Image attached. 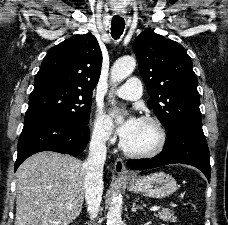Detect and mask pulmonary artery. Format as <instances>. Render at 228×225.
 <instances>
[{
    "mask_svg": "<svg viewBox=\"0 0 228 225\" xmlns=\"http://www.w3.org/2000/svg\"><path fill=\"white\" fill-rule=\"evenodd\" d=\"M137 78H132L131 81H129V85H122V87L116 89L114 93L126 100H134L139 97V94L142 93L141 90V81H136Z\"/></svg>",
    "mask_w": 228,
    "mask_h": 225,
    "instance_id": "e3ab8cb5",
    "label": "pulmonary artery"
}]
</instances>
